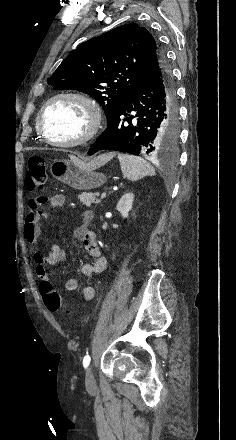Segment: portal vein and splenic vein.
Masks as SVG:
<instances>
[{"instance_id":"obj_1","label":"portal vein and splenic vein","mask_w":236,"mask_h":440,"mask_svg":"<svg viewBox=\"0 0 236 440\" xmlns=\"http://www.w3.org/2000/svg\"><path fill=\"white\" fill-rule=\"evenodd\" d=\"M106 197V193L104 192V193H102V195H101V199H103V198H105Z\"/></svg>"}]
</instances>
